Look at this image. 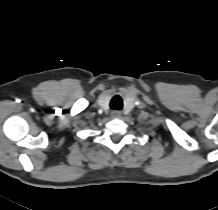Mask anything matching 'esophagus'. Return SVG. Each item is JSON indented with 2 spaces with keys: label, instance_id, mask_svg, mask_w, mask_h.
I'll use <instances>...</instances> for the list:
<instances>
[{
  "label": "esophagus",
  "instance_id": "obj_1",
  "mask_svg": "<svg viewBox=\"0 0 218 210\" xmlns=\"http://www.w3.org/2000/svg\"><path fill=\"white\" fill-rule=\"evenodd\" d=\"M120 115H121V112H119V111H113V112H112V116H113V117H116V118H117V117H120Z\"/></svg>",
  "mask_w": 218,
  "mask_h": 210
}]
</instances>
